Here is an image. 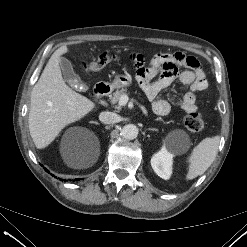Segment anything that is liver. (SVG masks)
<instances>
[{
    "label": "liver",
    "instance_id": "obj_1",
    "mask_svg": "<svg viewBox=\"0 0 247 247\" xmlns=\"http://www.w3.org/2000/svg\"><path fill=\"white\" fill-rule=\"evenodd\" d=\"M67 52V46H61L52 54L31 92L28 123L30 135L39 149L47 147L65 126L80 120L95 107L91 100L65 83L59 60ZM96 160L93 158L86 163L69 166L74 169L88 168Z\"/></svg>",
    "mask_w": 247,
    "mask_h": 247
}]
</instances>
